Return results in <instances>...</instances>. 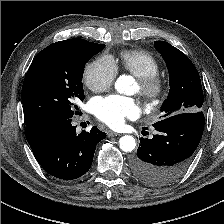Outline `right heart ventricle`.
I'll list each match as a JSON object with an SVG mask.
<instances>
[{
  "mask_svg": "<svg viewBox=\"0 0 224 224\" xmlns=\"http://www.w3.org/2000/svg\"><path fill=\"white\" fill-rule=\"evenodd\" d=\"M118 64L138 79L158 75L161 70L160 63L152 54L138 49L121 51Z\"/></svg>",
  "mask_w": 224,
  "mask_h": 224,
  "instance_id": "right-heart-ventricle-1",
  "label": "right heart ventricle"
}]
</instances>
